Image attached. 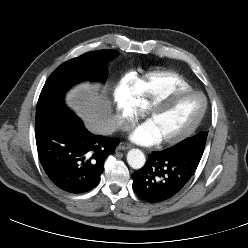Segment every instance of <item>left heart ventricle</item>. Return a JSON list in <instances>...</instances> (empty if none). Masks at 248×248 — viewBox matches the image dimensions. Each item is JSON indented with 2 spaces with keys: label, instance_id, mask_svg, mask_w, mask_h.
<instances>
[{
  "label": "left heart ventricle",
  "instance_id": "obj_1",
  "mask_svg": "<svg viewBox=\"0 0 248 248\" xmlns=\"http://www.w3.org/2000/svg\"><path fill=\"white\" fill-rule=\"evenodd\" d=\"M203 100L198 95H187L169 103L148 118L160 139L178 135L187 129L199 116Z\"/></svg>",
  "mask_w": 248,
  "mask_h": 248
}]
</instances>
